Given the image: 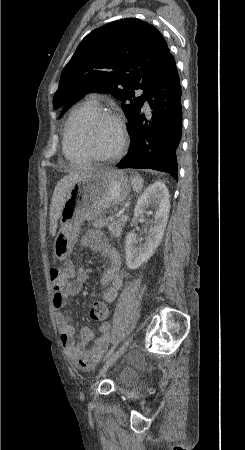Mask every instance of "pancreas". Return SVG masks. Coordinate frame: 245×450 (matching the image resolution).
Masks as SVG:
<instances>
[{"label":"pancreas","mask_w":245,"mask_h":450,"mask_svg":"<svg viewBox=\"0 0 245 450\" xmlns=\"http://www.w3.org/2000/svg\"><path fill=\"white\" fill-rule=\"evenodd\" d=\"M125 221L121 220V218L109 217L104 218L100 217L93 223V226L96 228H103L108 226V230L110 234L114 237H119L122 232V228L124 227Z\"/></svg>","instance_id":"1"}]
</instances>
